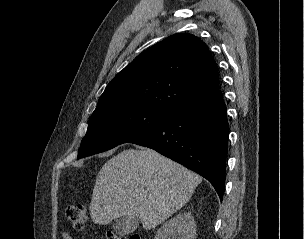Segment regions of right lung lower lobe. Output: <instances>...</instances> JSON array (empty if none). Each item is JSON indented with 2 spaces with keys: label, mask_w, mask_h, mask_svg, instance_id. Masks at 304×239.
<instances>
[{
  "label": "right lung lower lobe",
  "mask_w": 304,
  "mask_h": 239,
  "mask_svg": "<svg viewBox=\"0 0 304 239\" xmlns=\"http://www.w3.org/2000/svg\"><path fill=\"white\" fill-rule=\"evenodd\" d=\"M228 136L226 105L218 89L129 143L151 148L197 172L222 200Z\"/></svg>",
  "instance_id": "1"
}]
</instances>
